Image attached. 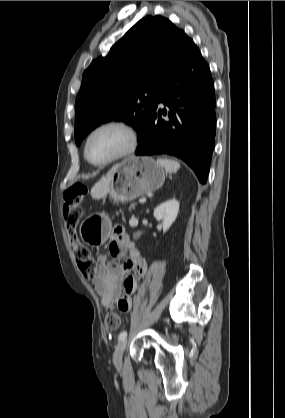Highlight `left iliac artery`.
<instances>
[{
  "label": "left iliac artery",
  "mask_w": 285,
  "mask_h": 418,
  "mask_svg": "<svg viewBox=\"0 0 285 418\" xmlns=\"http://www.w3.org/2000/svg\"><path fill=\"white\" fill-rule=\"evenodd\" d=\"M127 337V331H122L119 335H118V340L119 341H123L125 340Z\"/></svg>",
  "instance_id": "obj_1"
}]
</instances>
